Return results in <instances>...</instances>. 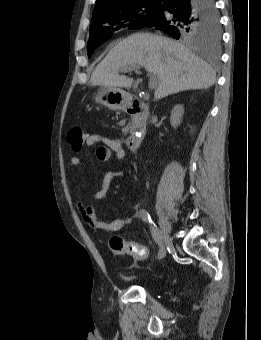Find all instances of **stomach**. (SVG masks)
Here are the masks:
<instances>
[{"label": "stomach", "instance_id": "stomach-1", "mask_svg": "<svg viewBox=\"0 0 261 340\" xmlns=\"http://www.w3.org/2000/svg\"><path fill=\"white\" fill-rule=\"evenodd\" d=\"M128 93L120 88L102 87L95 95V103L111 110H120L126 106Z\"/></svg>", "mask_w": 261, "mask_h": 340}]
</instances>
